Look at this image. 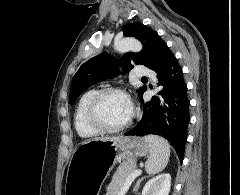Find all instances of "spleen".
Instances as JSON below:
<instances>
[{"label":"spleen","mask_w":240,"mask_h":195,"mask_svg":"<svg viewBox=\"0 0 240 195\" xmlns=\"http://www.w3.org/2000/svg\"><path fill=\"white\" fill-rule=\"evenodd\" d=\"M151 149L147 161H145V169L150 175L159 173L165 169L170 157V145L167 139L160 137V135H145Z\"/></svg>","instance_id":"spleen-1"}]
</instances>
